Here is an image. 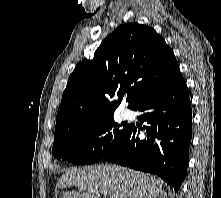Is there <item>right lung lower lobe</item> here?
<instances>
[{"instance_id": "1", "label": "right lung lower lobe", "mask_w": 221, "mask_h": 198, "mask_svg": "<svg viewBox=\"0 0 221 198\" xmlns=\"http://www.w3.org/2000/svg\"><path fill=\"white\" fill-rule=\"evenodd\" d=\"M134 111L148 126L130 124L121 142L101 160L160 176L177 192L186 176L192 138L189 93L178 72L152 92ZM143 133L144 139L136 136Z\"/></svg>"}]
</instances>
